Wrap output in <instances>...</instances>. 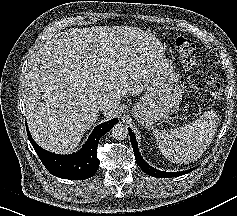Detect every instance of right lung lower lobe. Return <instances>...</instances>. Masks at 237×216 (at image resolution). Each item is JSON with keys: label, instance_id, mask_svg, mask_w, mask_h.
<instances>
[{"label": "right lung lower lobe", "instance_id": "98d812e1", "mask_svg": "<svg viewBox=\"0 0 237 216\" xmlns=\"http://www.w3.org/2000/svg\"><path fill=\"white\" fill-rule=\"evenodd\" d=\"M117 122L118 119H112L98 125L89 136L83 148L71 155L53 154L42 149L33 140L27 125L26 130L35 152L52 175L69 180H83L92 177L97 172L100 163L97 158L99 139Z\"/></svg>", "mask_w": 237, "mask_h": 216}]
</instances>
